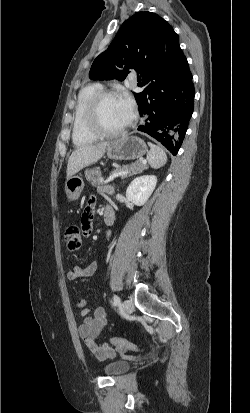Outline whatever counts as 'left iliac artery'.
Segmentation results:
<instances>
[{"mask_svg":"<svg viewBox=\"0 0 250 413\" xmlns=\"http://www.w3.org/2000/svg\"><path fill=\"white\" fill-rule=\"evenodd\" d=\"M119 304H120V298H119V296L114 295V296H113V305H114V306H117V305H119Z\"/></svg>","mask_w":250,"mask_h":413,"instance_id":"obj_1","label":"left iliac artery"}]
</instances>
